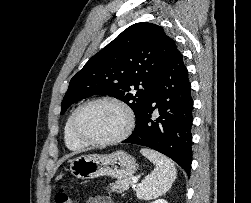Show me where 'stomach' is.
Masks as SVG:
<instances>
[{
  "label": "stomach",
  "mask_w": 251,
  "mask_h": 203,
  "mask_svg": "<svg viewBox=\"0 0 251 203\" xmlns=\"http://www.w3.org/2000/svg\"><path fill=\"white\" fill-rule=\"evenodd\" d=\"M137 166L135 158L121 150L111 154L81 155L70 161L72 175L80 179L101 176L125 179L136 172Z\"/></svg>",
  "instance_id": "stomach-1"
}]
</instances>
